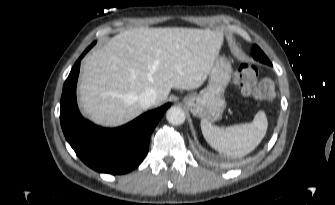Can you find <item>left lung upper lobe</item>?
I'll return each mask as SVG.
<instances>
[{
  "label": "left lung upper lobe",
  "mask_w": 335,
  "mask_h": 205,
  "mask_svg": "<svg viewBox=\"0 0 335 205\" xmlns=\"http://www.w3.org/2000/svg\"><path fill=\"white\" fill-rule=\"evenodd\" d=\"M252 56L255 60L261 63L271 65V62L269 61V59L266 57L264 52L257 45H254L252 48Z\"/></svg>",
  "instance_id": "5c2ea615"
}]
</instances>
